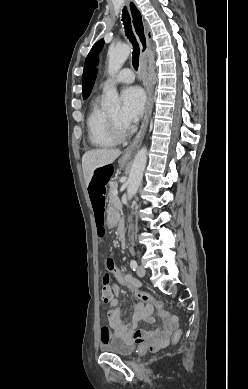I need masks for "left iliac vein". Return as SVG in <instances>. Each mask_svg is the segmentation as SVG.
<instances>
[{
    "label": "left iliac vein",
    "mask_w": 248,
    "mask_h": 389,
    "mask_svg": "<svg viewBox=\"0 0 248 389\" xmlns=\"http://www.w3.org/2000/svg\"><path fill=\"white\" fill-rule=\"evenodd\" d=\"M145 269H144V267L143 266H138V268H137V275L139 276V277H144L145 276Z\"/></svg>",
    "instance_id": "1"
}]
</instances>
